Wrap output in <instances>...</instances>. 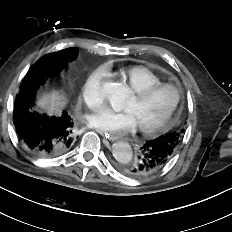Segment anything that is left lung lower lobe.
<instances>
[{
	"label": "left lung lower lobe",
	"instance_id": "0a47b994",
	"mask_svg": "<svg viewBox=\"0 0 232 232\" xmlns=\"http://www.w3.org/2000/svg\"><path fill=\"white\" fill-rule=\"evenodd\" d=\"M172 150L162 142L154 139L147 141L139 151L136 161L122 167L130 177H145L161 170L172 158Z\"/></svg>",
	"mask_w": 232,
	"mask_h": 232
}]
</instances>
